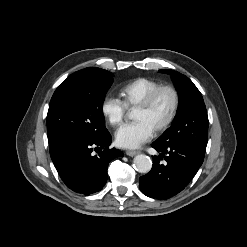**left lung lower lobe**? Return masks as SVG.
Segmentation results:
<instances>
[{
  "instance_id": "0a47b994",
  "label": "left lung lower lobe",
  "mask_w": 247,
  "mask_h": 247,
  "mask_svg": "<svg viewBox=\"0 0 247 247\" xmlns=\"http://www.w3.org/2000/svg\"><path fill=\"white\" fill-rule=\"evenodd\" d=\"M152 147L161 154L154 156L153 167L140 177L139 187L148 197L167 199L188 185L203 163L205 149L187 141L170 144L155 141ZM163 158L165 164L160 162Z\"/></svg>"
}]
</instances>
